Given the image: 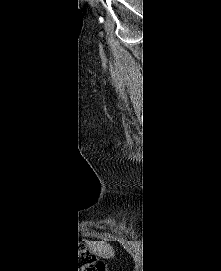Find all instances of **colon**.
<instances>
[{"instance_id": "1", "label": "colon", "mask_w": 221, "mask_h": 271, "mask_svg": "<svg viewBox=\"0 0 221 271\" xmlns=\"http://www.w3.org/2000/svg\"><path fill=\"white\" fill-rule=\"evenodd\" d=\"M78 271H106L105 264L97 261L93 254L83 253L76 257Z\"/></svg>"}]
</instances>
